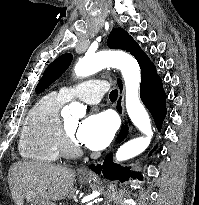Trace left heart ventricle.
Listing matches in <instances>:
<instances>
[{
    "label": "left heart ventricle",
    "instance_id": "b2bd125f",
    "mask_svg": "<svg viewBox=\"0 0 199 205\" xmlns=\"http://www.w3.org/2000/svg\"><path fill=\"white\" fill-rule=\"evenodd\" d=\"M64 122L66 124L67 130L70 136L76 141V132L79 126V119L69 118V119H66Z\"/></svg>",
    "mask_w": 199,
    "mask_h": 205
}]
</instances>
